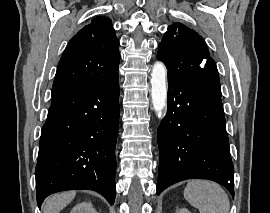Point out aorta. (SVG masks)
<instances>
[{
  "instance_id": "762f6f07",
  "label": "aorta",
  "mask_w": 270,
  "mask_h": 213,
  "mask_svg": "<svg viewBox=\"0 0 270 213\" xmlns=\"http://www.w3.org/2000/svg\"><path fill=\"white\" fill-rule=\"evenodd\" d=\"M166 76L165 65L162 62H156L152 68L150 84L152 104L158 117L161 116L167 101Z\"/></svg>"
}]
</instances>
